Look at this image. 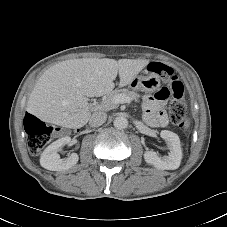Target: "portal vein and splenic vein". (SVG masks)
Masks as SVG:
<instances>
[{"mask_svg": "<svg viewBox=\"0 0 227 227\" xmlns=\"http://www.w3.org/2000/svg\"><path fill=\"white\" fill-rule=\"evenodd\" d=\"M114 102L116 104H118V103H121V104L122 103H130L131 99L126 97V96H124V95H117V96L114 97Z\"/></svg>", "mask_w": 227, "mask_h": 227, "instance_id": "obj_1", "label": "portal vein and splenic vein"}]
</instances>
